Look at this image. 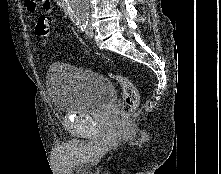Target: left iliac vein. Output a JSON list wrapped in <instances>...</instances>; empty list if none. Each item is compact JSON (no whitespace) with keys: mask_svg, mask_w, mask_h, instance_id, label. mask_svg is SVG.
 <instances>
[{"mask_svg":"<svg viewBox=\"0 0 221 174\" xmlns=\"http://www.w3.org/2000/svg\"><path fill=\"white\" fill-rule=\"evenodd\" d=\"M85 33H86V35H87L88 37H93V35H94V29H93V27H92L90 24H88V25L86 26Z\"/></svg>","mask_w":221,"mask_h":174,"instance_id":"left-iliac-vein-1","label":"left iliac vein"}]
</instances>
